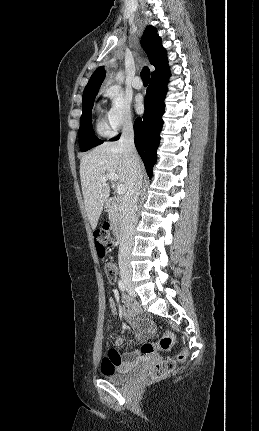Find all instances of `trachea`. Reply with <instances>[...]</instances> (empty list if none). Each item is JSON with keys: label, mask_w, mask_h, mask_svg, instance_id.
Listing matches in <instances>:
<instances>
[{"label": "trachea", "mask_w": 259, "mask_h": 431, "mask_svg": "<svg viewBox=\"0 0 259 431\" xmlns=\"http://www.w3.org/2000/svg\"><path fill=\"white\" fill-rule=\"evenodd\" d=\"M141 79L144 84H148L150 78V70L148 67H144L140 73Z\"/></svg>", "instance_id": "obj_1"}]
</instances>
